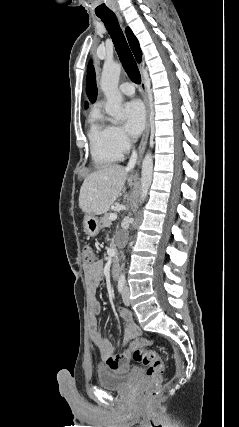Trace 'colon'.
<instances>
[{"mask_svg":"<svg viewBox=\"0 0 239 427\" xmlns=\"http://www.w3.org/2000/svg\"><path fill=\"white\" fill-rule=\"evenodd\" d=\"M83 263L91 265L96 262V253L91 244L82 247ZM135 361L147 368L149 382L142 392L144 400L148 401L155 397L161 387L165 366L157 351L152 349L136 350L133 354Z\"/></svg>","mask_w":239,"mask_h":427,"instance_id":"colon-1","label":"colon"}]
</instances>
